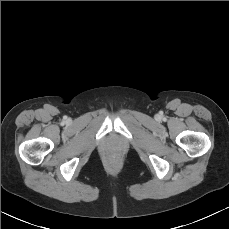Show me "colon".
<instances>
[{"label": "colon", "mask_w": 229, "mask_h": 229, "mask_svg": "<svg viewBox=\"0 0 229 229\" xmlns=\"http://www.w3.org/2000/svg\"><path fill=\"white\" fill-rule=\"evenodd\" d=\"M111 158L116 159V158H118V155L114 153L111 155Z\"/></svg>", "instance_id": "colon-1"}]
</instances>
